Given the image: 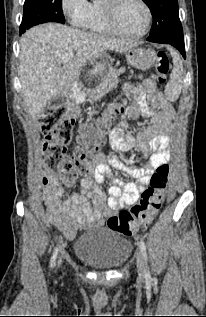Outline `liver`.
<instances>
[{
	"mask_svg": "<svg viewBox=\"0 0 206 317\" xmlns=\"http://www.w3.org/2000/svg\"><path fill=\"white\" fill-rule=\"evenodd\" d=\"M137 42L86 32L67 25L46 23L28 30L20 41L19 78L22 98L32 118L58 95L70 97L82 67L106 50L122 53ZM76 53L61 66V57Z\"/></svg>",
	"mask_w": 206,
	"mask_h": 317,
	"instance_id": "liver-1",
	"label": "liver"
}]
</instances>
